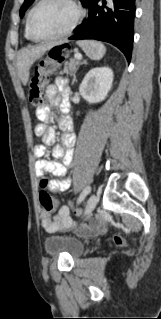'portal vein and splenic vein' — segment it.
I'll use <instances>...</instances> for the list:
<instances>
[{
    "mask_svg": "<svg viewBox=\"0 0 161 319\" xmlns=\"http://www.w3.org/2000/svg\"><path fill=\"white\" fill-rule=\"evenodd\" d=\"M74 57H75L77 60H81V59H82V55H81V54H78V53H76V54L74 55Z\"/></svg>",
    "mask_w": 161,
    "mask_h": 319,
    "instance_id": "obj_1",
    "label": "portal vein and splenic vein"
}]
</instances>
